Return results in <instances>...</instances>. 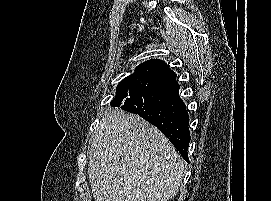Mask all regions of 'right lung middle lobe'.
I'll return each instance as SVG.
<instances>
[{
  "instance_id": "obj_1",
  "label": "right lung middle lobe",
  "mask_w": 271,
  "mask_h": 201,
  "mask_svg": "<svg viewBox=\"0 0 271 201\" xmlns=\"http://www.w3.org/2000/svg\"><path fill=\"white\" fill-rule=\"evenodd\" d=\"M152 75L148 71H135L130 76L124 78L117 87L116 96L110 105L119 107L125 98L141 94L147 86Z\"/></svg>"
}]
</instances>
